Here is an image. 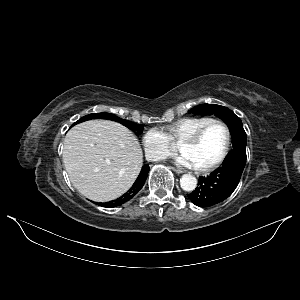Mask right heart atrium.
Masks as SVG:
<instances>
[{
  "instance_id": "1",
  "label": "right heart atrium",
  "mask_w": 300,
  "mask_h": 300,
  "mask_svg": "<svg viewBox=\"0 0 300 300\" xmlns=\"http://www.w3.org/2000/svg\"><path fill=\"white\" fill-rule=\"evenodd\" d=\"M146 158L151 162L160 161L174 151V144L167 133L160 128H151L142 137Z\"/></svg>"
}]
</instances>
